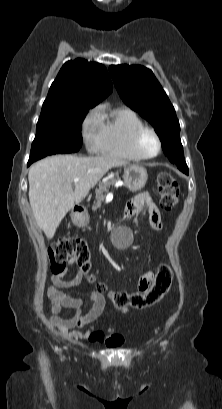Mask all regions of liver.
I'll return each mask as SVG.
<instances>
[{
	"label": "liver",
	"instance_id": "1",
	"mask_svg": "<svg viewBox=\"0 0 222 409\" xmlns=\"http://www.w3.org/2000/svg\"><path fill=\"white\" fill-rule=\"evenodd\" d=\"M127 162L110 156L56 155L34 164L28 173L29 201L37 225L53 238L64 216L85 198L113 167ZM80 180L74 183V178Z\"/></svg>",
	"mask_w": 222,
	"mask_h": 409
}]
</instances>
